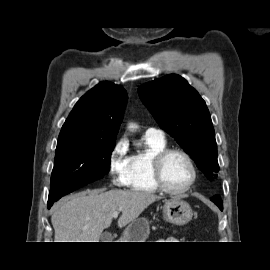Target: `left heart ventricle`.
I'll list each match as a JSON object with an SVG mask.
<instances>
[{
    "label": "left heart ventricle",
    "mask_w": 270,
    "mask_h": 270,
    "mask_svg": "<svg viewBox=\"0 0 270 270\" xmlns=\"http://www.w3.org/2000/svg\"><path fill=\"white\" fill-rule=\"evenodd\" d=\"M162 174L165 183L173 189L186 186L192 177L187 160L178 153L170 154L163 162Z\"/></svg>",
    "instance_id": "1"
}]
</instances>
